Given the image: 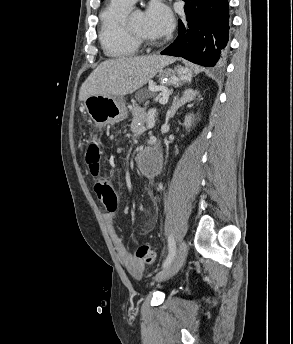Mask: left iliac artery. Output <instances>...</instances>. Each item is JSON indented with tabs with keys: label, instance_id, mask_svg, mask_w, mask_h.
I'll return each mask as SVG.
<instances>
[{
	"label": "left iliac artery",
	"instance_id": "left-iliac-artery-1",
	"mask_svg": "<svg viewBox=\"0 0 293 344\" xmlns=\"http://www.w3.org/2000/svg\"><path fill=\"white\" fill-rule=\"evenodd\" d=\"M168 246H169V253L166 260L163 262V265H162L163 268L167 267L172 262L176 253V244H175L173 234H170L168 237Z\"/></svg>",
	"mask_w": 293,
	"mask_h": 344
}]
</instances>
